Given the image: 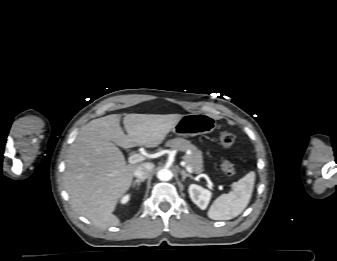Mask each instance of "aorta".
Returning <instances> with one entry per match:
<instances>
[{
    "mask_svg": "<svg viewBox=\"0 0 337 261\" xmlns=\"http://www.w3.org/2000/svg\"><path fill=\"white\" fill-rule=\"evenodd\" d=\"M157 177L161 181H169L172 179L173 173L171 170L164 168L158 171Z\"/></svg>",
    "mask_w": 337,
    "mask_h": 261,
    "instance_id": "aorta-1",
    "label": "aorta"
}]
</instances>
